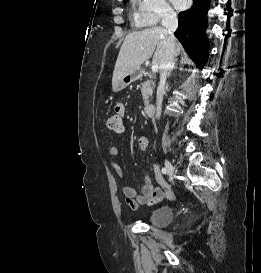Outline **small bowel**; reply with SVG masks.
Listing matches in <instances>:
<instances>
[{"instance_id":"small-bowel-1","label":"small bowel","mask_w":261,"mask_h":273,"mask_svg":"<svg viewBox=\"0 0 261 273\" xmlns=\"http://www.w3.org/2000/svg\"><path fill=\"white\" fill-rule=\"evenodd\" d=\"M115 115L121 116L123 118L126 114V107L123 103H118L115 106ZM124 126L122 123V129L116 132H123ZM148 139L145 136H140L138 139V146L141 152H145L148 148ZM119 152L118 147L112 146L109 149L110 155V165L113 172L119 176L120 178L123 177V168L120 162L115 158ZM156 178L160 179V174L156 172ZM166 192L155 188L151 182V179L147 173L144 174V184L142 186L140 194H137L136 190L130 186L123 187V195L125 202L132 210H137L140 205L152 206L164 198Z\"/></svg>"}]
</instances>
